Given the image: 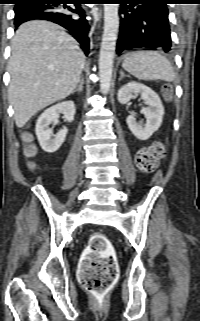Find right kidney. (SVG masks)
Segmentation results:
<instances>
[{
    "instance_id": "obj_1",
    "label": "right kidney",
    "mask_w": 200,
    "mask_h": 321,
    "mask_svg": "<svg viewBox=\"0 0 200 321\" xmlns=\"http://www.w3.org/2000/svg\"><path fill=\"white\" fill-rule=\"evenodd\" d=\"M76 109L73 101H64L46 109L38 118L35 132L40 146L45 152L54 153L63 144L68 129L63 127L56 135H53L49 125L62 113L68 122L74 120ZM54 136V138H52Z\"/></svg>"
}]
</instances>
